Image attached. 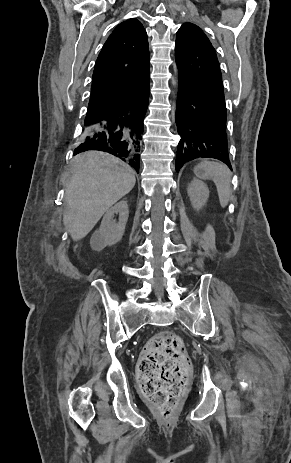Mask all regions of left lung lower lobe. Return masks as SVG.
<instances>
[{
  "instance_id": "obj_1",
  "label": "left lung lower lobe",
  "mask_w": 291,
  "mask_h": 463,
  "mask_svg": "<svg viewBox=\"0 0 291 463\" xmlns=\"http://www.w3.org/2000/svg\"><path fill=\"white\" fill-rule=\"evenodd\" d=\"M175 119L181 137L175 161L177 172L197 158H215L232 169L223 98L179 78Z\"/></svg>"
}]
</instances>
